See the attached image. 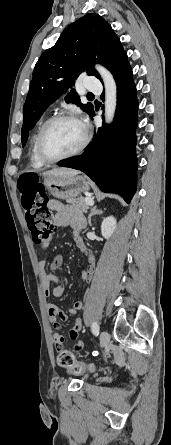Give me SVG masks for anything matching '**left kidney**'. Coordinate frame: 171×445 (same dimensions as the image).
<instances>
[{
  "instance_id": "5707ae66",
  "label": "left kidney",
  "mask_w": 171,
  "mask_h": 445,
  "mask_svg": "<svg viewBox=\"0 0 171 445\" xmlns=\"http://www.w3.org/2000/svg\"><path fill=\"white\" fill-rule=\"evenodd\" d=\"M116 229V219L113 216L105 218L101 224V234L105 239H109Z\"/></svg>"
}]
</instances>
